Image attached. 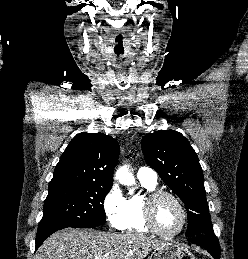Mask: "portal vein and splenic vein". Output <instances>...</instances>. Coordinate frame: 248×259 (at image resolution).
I'll list each match as a JSON object with an SVG mask.
<instances>
[{"mask_svg":"<svg viewBox=\"0 0 248 259\" xmlns=\"http://www.w3.org/2000/svg\"><path fill=\"white\" fill-rule=\"evenodd\" d=\"M95 259H102L101 257H96Z\"/></svg>","mask_w":248,"mask_h":259,"instance_id":"portal-vein-and-splenic-vein-1","label":"portal vein and splenic vein"}]
</instances>
